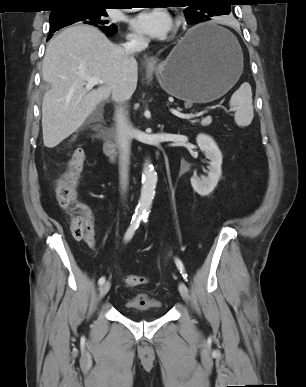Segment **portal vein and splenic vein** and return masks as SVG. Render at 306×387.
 <instances>
[{
    "mask_svg": "<svg viewBox=\"0 0 306 387\" xmlns=\"http://www.w3.org/2000/svg\"><path fill=\"white\" fill-rule=\"evenodd\" d=\"M103 81L98 78V77H89L87 78V84L85 86V89L86 90H90L93 86L97 85V84H102ZM171 113L173 115H175L176 117H179V118H182V119H191L193 117H196L197 115H194V114H184V113H181L175 109H171Z\"/></svg>",
    "mask_w": 306,
    "mask_h": 387,
    "instance_id": "obj_1",
    "label": "portal vein and splenic vein"
}]
</instances>
